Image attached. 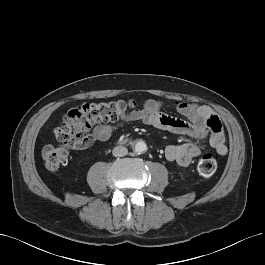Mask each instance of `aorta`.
<instances>
[{"instance_id": "obj_1", "label": "aorta", "mask_w": 265, "mask_h": 265, "mask_svg": "<svg viewBox=\"0 0 265 265\" xmlns=\"http://www.w3.org/2000/svg\"><path fill=\"white\" fill-rule=\"evenodd\" d=\"M134 151L137 153H143L147 151V145L144 141H138L134 145Z\"/></svg>"}]
</instances>
